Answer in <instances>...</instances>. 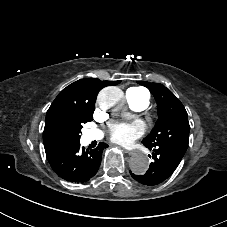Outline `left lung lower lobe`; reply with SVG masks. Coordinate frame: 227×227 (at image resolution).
I'll return each mask as SVG.
<instances>
[{"label":"left lung lower lobe","instance_id":"obj_1","mask_svg":"<svg viewBox=\"0 0 227 227\" xmlns=\"http://www.w3.org/2000/svg\"><path fill=\"white\" fill-rule=\"evenodd\" d=\"M147 148L153 151L152 158L154 159L148 171L144 175L130 173L140 183L154 186L172 175L185 153H181L177 149L164 144Z\"/></svg>","mask_w":227,"mask_h":227}]
</instances>
